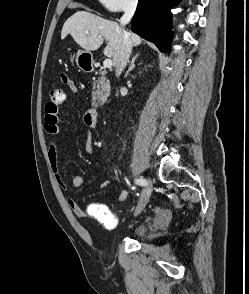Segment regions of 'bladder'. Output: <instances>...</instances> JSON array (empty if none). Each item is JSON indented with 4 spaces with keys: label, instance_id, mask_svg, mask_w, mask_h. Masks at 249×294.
Masks as SVG:
<instances>
[{
    "label": "bladder",
    "instance_id": "31cf9c89",
    "mask_svg": "<svg viewBox=\"0 0 249 294\" xmlns=\"http://www.w3.org/2000/svg\"><path fill=\"white\" fill-rule=\"evenodd\" d=\"M171 220V214L169 212H163L161 217L157 220L158 223L167 224Z\"/></svg>",
    "mask_w": 249,
    "mask_h": 294
}]
</instances>
